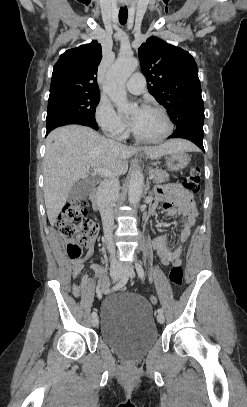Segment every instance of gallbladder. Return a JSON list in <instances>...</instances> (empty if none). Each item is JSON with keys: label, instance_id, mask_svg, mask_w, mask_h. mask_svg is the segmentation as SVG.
Masks as SVG:
<instances>
[{"label": "gallbladder", "instance_id": "bac80fb5", "mask_svg": "<svg viewBox=\"0 0 247 407\" xmlns=\"http://www.w3.org/2000/svg\"><path fill=\"white\" fill-rule=\"evenodd\" d=\"M94 184V179H84L75 183L70 189L67 199L69 201H75L86 198L93 189Z\"/></svg>", "mask_w": 247, "mask_h": 407}]
</instances>
